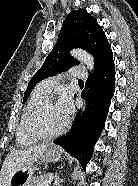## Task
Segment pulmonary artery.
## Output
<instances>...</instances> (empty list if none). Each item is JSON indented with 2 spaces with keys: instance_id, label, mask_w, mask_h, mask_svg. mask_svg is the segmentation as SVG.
Returning a JSON list of instances; mask_svg holds the SVG:
<instances>
[{
  "instance_id": "1",
  "label": "pulmonary artery",
  "mask_w": 138,
  "mask_h": 186,
  "mask_svg": "<svg viewBox=\"0 0 138 186\" xmlns=\"http://www.w3.org/2000/svg\"><path fill=\"white\" fill-rule=\"evenodd\" d=\"M87 75L88 73L84 66H75L66 73H62L44 80L43 82H41V86L47 93H49L56 85H58L63 80L65 76L85 79Z\"/></svg>"
}]
</instances>
